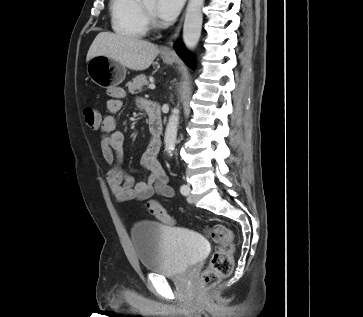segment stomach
I'll return each mask as SVG.
<instances>
[{
  "label": "stomach",
  "instance_id": "obj_1",
  "mask_svg": "<svg viewBox=\"0 0 363 317\" xmlns=\"http://www.w3.org/2000/svg\"><path fill=\"white\" fill-rule=\"evenodd\" d=\"M164 63L172 64L173 57L162 56ZM87 74L90 79L102 88H112L119 85L126 76V68L121 63L107 56H95L87 64Z\"/></svg>",
  "mask_w": 363,
  "mask_h": 317
}]
</instances>
